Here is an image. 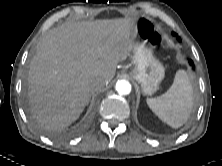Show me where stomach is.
<instances>
[{
  "mask_svg": "<svg viewBox=\"0 0 222 166\" xmlns=\"http://www.w3.org/2000/svg\"><path fill=\"white\" fill-rule=\"evenodd\" d=\"M135 68L132 77L140 85L144 95H152L164 78L163 65L153 56L145 43H136L133 49Z\"/></svg>",
  "mask_w": 222,
  "mask_h": 166,
  "instance_id": "obj_1",
  "label": "stomach"
}]
</instances>
